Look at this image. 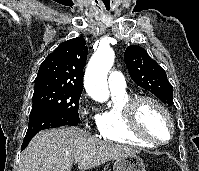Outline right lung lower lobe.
Segmentation results:
<instances>
[{
	"label": "right lung lower lobe",
	"mask_w": 199,
	"mask_h": 171,
	"mask_svg": "<svg viewBox=\"0 0 199 171\" xmlns=\"http://www.w3.org/2000/svg\"><path fill=\"white\" fill-rule=\"evenodd\" d=\"M79 121L55 110H43L30 113L29 125L21 149L27 147L30 140L41 130L65 125L76 126Z\"/></svg>",
	"instance_id": "obj_1"
}]
</instances>
